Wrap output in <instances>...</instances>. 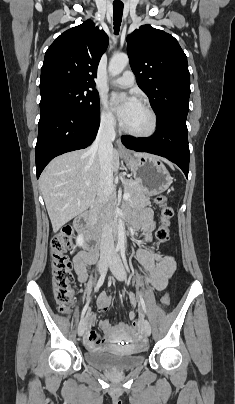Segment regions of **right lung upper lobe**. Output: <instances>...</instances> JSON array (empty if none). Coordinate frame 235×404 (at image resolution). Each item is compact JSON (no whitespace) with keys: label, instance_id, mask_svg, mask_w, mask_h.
<instances>
[{"label":"right lung upper lobe","instance_id":"right-lung-upper-lobe-1","mask_svg":"<svg viewBox=\"0 0 235 404\" xmlns=\"http://www.w3.org/2000/svg\"><path fill=\"white\" fill-rule=\"evenodd\" d=\"M107 46V34L91 20L65 31L45 53L40 85L66 82L93 88L97 67Z\"/></svg>","mask_w":235,"mask_h":404}]
</instances>
